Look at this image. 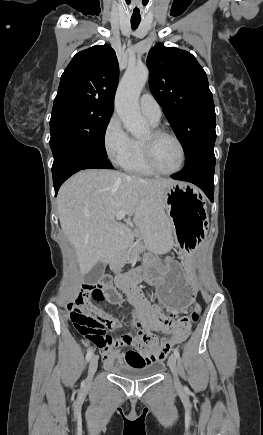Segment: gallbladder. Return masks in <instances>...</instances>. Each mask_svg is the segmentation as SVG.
Here are the masks:
<instances>
[{
  "mask_svg": "<svg viewBox=\"0 0 263 435\" xmlns=\"http://www.w3.org/2000/svg\"><path fill=\"white\" fill-rule=\"evenodd\" d=\"M105 270L103 262L99 261L96 265L84 276V282L86 284L97 283L102 277Z\"/></svg>",
  "mask_w": 263,
  "mask_h": 435,
  "instance_id": "1",
  "label": "gallbladder"
}]
</instances>
